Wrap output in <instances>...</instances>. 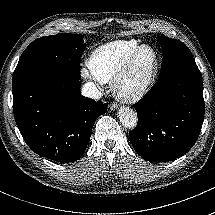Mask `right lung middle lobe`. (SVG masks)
Wrapping results in <instances>:
<instances>
[{
  "label": "right lung middle lobe",
  "mask_w": 215,
  "mask_h": 215,
  "mask_svg": "<svg viewBox=\"0 0 215 215\" xmlns=\"http://www.w3.org/2000/svg\"><path fill=\"white\" fill-rule=\"evenodd\" d=\"M81 34H57L33 41L23 52L13 73L12 85L35 75L80 79L79 63L85 49Z\"/></svg>",
  "instance_id": "dd1d6c3e"
}]
</instances>
